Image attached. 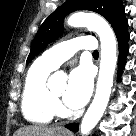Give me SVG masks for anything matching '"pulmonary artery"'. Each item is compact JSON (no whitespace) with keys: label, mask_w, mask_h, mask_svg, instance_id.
Segmentation results:
<instances>
[{"label":"pulmonary artery","mask_w":136,"mask_h":136,"mask_svg":"<svg viewBox=\"0 0 136 136\" xmlns=\"http://www.w3.org/2000/svg\"><path fill=\"white\" fill-rule=\"evenodd\" d=\"M97 43L93 37H77L61 42L45 51L39 58L43 63L55 69L72 57L78 50H96Z\"/></svg>","instance_id":"1"}]
</instances>
